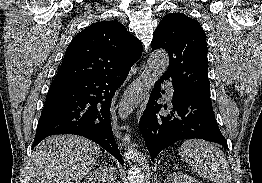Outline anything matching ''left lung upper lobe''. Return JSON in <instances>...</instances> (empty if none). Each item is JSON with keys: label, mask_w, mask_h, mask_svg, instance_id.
Segmentation results:
<instances>
[{"label": "left lung upper lobe", "mask_w": 262, "mask_h": 183, "mask_svg": "<svg viewBox=\"0 0 262 183\" xmlns=\"http://www.w3.org/2000/svg\"><path fill=\"white\" fill-rule=\"evenodd\" d=\"M152 49L169 54L164 73L191 92L210 96L206 34L198 21L182 13L167 14L154 31Z\"/></svg>", "instance_id": "obj_1"}]
</instances>
